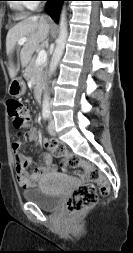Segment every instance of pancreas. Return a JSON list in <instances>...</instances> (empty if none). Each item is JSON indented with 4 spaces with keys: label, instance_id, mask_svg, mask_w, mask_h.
<instances>
[{
    "label": "pancreas",
    "instance_id": "obj_1",
    "mask_svg": "<svg viewBox=\"0 0 133 253\" xmlns=\"http://www.w3.org/2000/svg\"><path fill=\"white\" fill-rule=\"evenodd\" d=\"M44 67L45 63L41 65L36 64V59L33 57L28 66L25 69L24 72V77L27 81H32L35 84V90L34 94L35 97H38L42 87L44 85V79H45V74H44Z\"/></svg>",
    "mask_w": 133,
    "mask_h": 253
}]
</instances>
